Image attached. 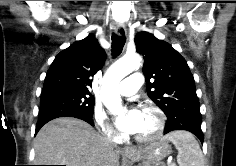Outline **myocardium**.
<instances>
[{"mask_svg": "<svg viewBox=\"0 0 236 166\" xmlns=\"http://www.w3.org/2000/svg\"><path fill=\"white\" fill-rule=\"evenodd\" d=\"M142 111L152 112L156 117L157 125H156L155 130L151 132L150 134L144 135V136L135 135V139L136 141L141 142V143H149V142L157 140L162 135L164 131V127H165V115L158 106L152 103L143 104Z\"/></svg>", "mask_w": 236, "mask_h": 166, "instance_id": "f54148a6", "label": "myocardium"}]
</instances>
